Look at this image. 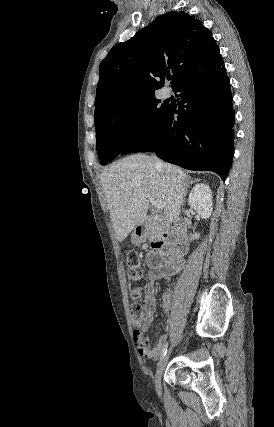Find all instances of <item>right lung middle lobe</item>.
<instances>
[{"instance_id": "right-lung-middle-lobe-1", "label": "right lung middle lobe", "mask_w": 274, "mask_h": 427, "mask_svg": "<svg viewBox=\"0 0 274 427\" xmlns=\"http://www.w3.org/2000/svg\"><path fill=\"white\" fill-rule=\"evenodd\" d=\"M154 94L139 95L110 105L95 115L96 149L101 165L125 147L145 137L166 112Z\"/></svg>"}]
</instances>
